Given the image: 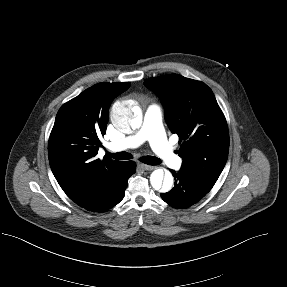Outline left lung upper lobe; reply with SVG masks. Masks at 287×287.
Returning <instances> with one entry per match:
<instances>
[{
    "mask_svg": "<svg viewBox=\"0 0 287 287\" xmlns=\"http://www.w3.org/2000/svg\"><path fill=\"white\" fill-rule=\"evenodd\" d=\"M144 84L160 97L169 129L183 141L177 150L181 168L213 187L227 161L229 133L212 90L178 74L149 78Z\"/></svg>",
    "mask_w": 287,
    "mask_h": 287,
    "instance_id": "1",
    "label": "left lung upper lobe"
}]
</instances>
